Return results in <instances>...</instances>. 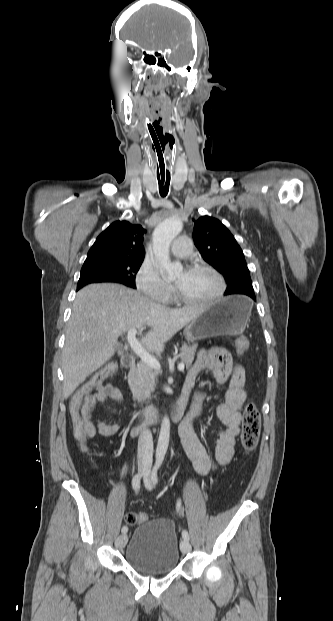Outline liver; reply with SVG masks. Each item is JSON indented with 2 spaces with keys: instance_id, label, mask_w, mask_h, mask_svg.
Segmentation results:
<instances>
[{
  "instance_id": "obj_1",
  "label": "liver",
  "mask_w": 333,
  "mask_h": 621,
  "mask_svg": "<svg viewBox=\"0 0 333 621\" xmlns=\"http://www.w3.org/2000/svg\"><path fill=\"white\" fill-rule=\"evenodd\" d=\"M204 307L168 308L119 284H91L79 290L62 350L64 397L114 355L122 333L149 326L142 341L148 349L162 352L165 343L198 318Z\"/></svg>"
}]
</instances>
